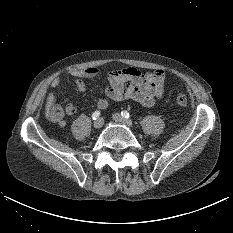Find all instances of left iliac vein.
<instances>
[{"label": "left iliac vein", "instance_id": "4c4485c4", "mask_svg": "<svg viewBox=\"0 0 233 233\" xmlns=\"http://www.w3.org/2000/svg\"><path fill=\"white\" fill-rule=\"evenodd\" d=\"M113 120L118 123H123L129 128H133V124L130 120L124 119L120 114L115 113L113 114Z\"/></svg>", "mask_w": 233, "mask_h": 233}]
</instances>
